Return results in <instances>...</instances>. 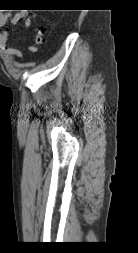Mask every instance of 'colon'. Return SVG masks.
Masks as SVG:
<instances>
[{
  "mask_svg": "<svg viewBox=\"0 0 138 253\" xmlns=\"http://www.w3.org/2000/svg\"><path fill=\"white\" fill-rule=\"evenodd\" d=\"M44 42H45L44 29L39 28L36 32V35H35V45L36 46H34V51H32V52L37 51V47L42 46L44 44Z\"/></svg>",
  "mask_w": 138,
  "mask_h": 253,
  "instance_id": "colon-1",
  "label": "colon"
}]
</instances>
